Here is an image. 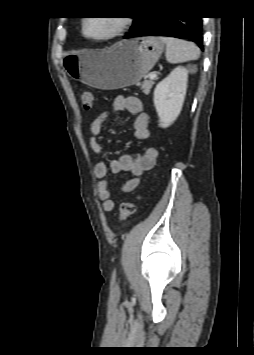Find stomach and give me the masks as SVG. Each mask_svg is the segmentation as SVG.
Segmentation results:
<instances>
[{
  "instance_id": "obj_1",
  "label": "stomach",
  "mask_w": 254,
  "mask_h": 355,
  "mask_svg": "<svg viewBox=\"0 0 254 355\" xmlns=\"http://www.w3.org/2000/svg\"><path fill=\"white\" fill-rule=\"evenodd\" d=\"M163 49L164 42L158 37H138L100 51L67 53L62 65L72 79L113 90L139 83L154 67Z\"/></svg>"
}]
</instances>
